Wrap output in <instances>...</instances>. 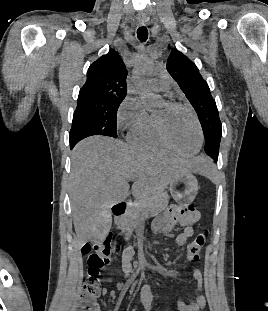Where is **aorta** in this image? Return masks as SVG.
Instances as JSON below:
<instances>
[{"mask_svg":"<svg viewBox=\"0 0 268 311\" xmlns=\"http://www.w3.org/2000/svg\"><path fill=\"white\" fill-rule=\"evenodd\" d=\"M156 71V63L152 60H143L136 66V90L139 94L146 99L147 106L150 104H157L159 102V96L152 93L149 86L147 76Z\"/></svg>","mask_w":268,"mask_h":311,"instance_id":"762f6f07","label":"aorta"}]
</instances>
